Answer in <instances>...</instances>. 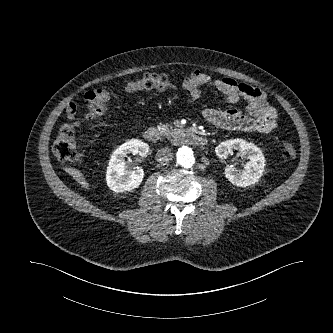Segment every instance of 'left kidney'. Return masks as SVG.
I'll use <instances>...</instances> for the list:
<instances>
[{"mask_svg": "<svg viewBox=\"0 0 333 333\" xmlns=\"http://www.w3.org/2000/svg\"><path fill=\"white\" fill-rule=\"evenodd\" d=\"M233 149H238L240 154L247 156L249 161L243 170H238L234 165H228L225 168L226 178L239 187L255 184L264 171L265 158L262 151L253 143L237 138L222 142L216 147L215 152L219 158L226 159Z\"/></svg>", "mask_w": 333, "mask_h": 333, "instance_id": "1", "label": "left kidney"}]
</instances>
